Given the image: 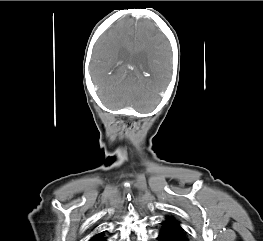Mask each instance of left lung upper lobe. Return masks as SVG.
Instances as JSON below:
<instances>
[{
	"instance_id": "1",
	"label": "left lung upper lobe",
	"mask_w": 263,
	"mask_h": 241,
	"mask_svg": "<svg viewBox=\"0 0 263 241\" xmlns=\"http://www.w3.org/2000/svg\"><path fill=\"white\" fill-rule=\"evenodd\" d=\"M166 220H168V221L172 222L173 224L180 227L179 222L176 221L173 217L168 216V217H166Z\"/></svg>"
}]
</instances>
